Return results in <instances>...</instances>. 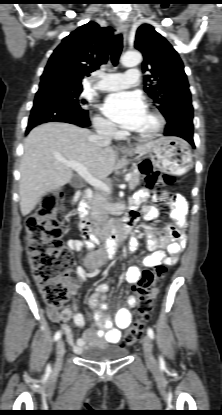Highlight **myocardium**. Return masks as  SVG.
Wrapping results in <instances>:
<instances>
[{"mask_svg":"<svg viewBox=\"0 0 222 415\" xmlns=\"http://www.w3.org/2000/svg\"><path fill=\"white\" fill-rule=\"evenodd\" d=\"M146 111L155 119L156 125L153 130L148 133H138V132H131V135L139 140V141H151L157 138L165 127V118L164 116L157 110L147 107Z\"/></svg>","mask_w":222,"mask_h":415,"instance_id":"1","label":"myocardium"}]
</instances>
